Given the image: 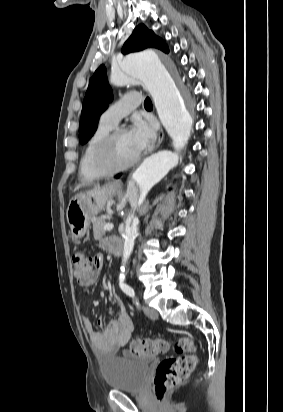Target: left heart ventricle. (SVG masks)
<instances>
[{
	"mask_svg": "<svg viewBox=\"0 0 283 412\" xmlns=\"http://www.w3.org/2000/svg\"><path fill=\"white\" fill-rule=\"evenodd\" d=\"M139 153L135 149L127 131L120 133L115 142L114 160L124 164L134 159Z\"/></svg>",
	"mask_w": 283,
	"mask_h": 412,
	"instance_id": "1",
	"label": "left heart ventricle"
}]
</instances>
